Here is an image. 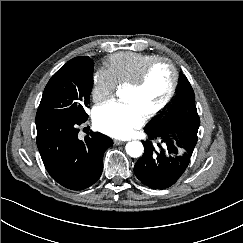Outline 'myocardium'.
I'll return each instance as SVG.
<instances>
[{
  "label": "myocardium",
  "mask_w": 243,
  "mask_h": 243,
  "mask_svg": "<svg viewBox=\"0 0 243 243\" xmlns=\"http://www.w3.org/2000/svg\"><path fill=\"white\" fill-rule=\"evenodd\" d=\"M160 63H167L170 66V68L172 70V75H173L172 84H171L170 90H169L166 98L163 100V102L159 106H157L156 108H154L153 110L149 111L148 113H146L144 115V117L146 119H151V118L157 116L158 114L163 112L169 106V104L172 102V100L176 94L178 84H179V72H178V69H177L175 63L167 57H157V58L153 59L152 61H150L149 63H147L135 79H133L132 81H130L129 83L126 84L127 87L134 88V89H138V88L142 87L143 84L145 83L150 71L156 65H158Z\"/></svg>",
  "instance_id": "f54148a6"
}]
</instances>
